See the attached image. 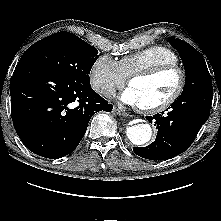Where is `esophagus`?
Here are the masks:
<instances>
[{"instance_id": "obj_1", "label": "esophagus", "mask_w": 221, "mask_h": 221, "mask_svg": "<svg viewBox=\"0 0 221 221\" xmlns=\"http://www.w3.org/2000/svg\"><path fill=\"white\" fill-rule=\"evenodd\" d=\"M113 113L116 114V115H126V112L125 110H123V107H114L113 108Z\"/></svg>"}]
</instances>
